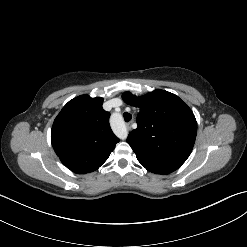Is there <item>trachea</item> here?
<instances>
[{"mask_svg":"<svg viewBox=\"0 0 247 247\" xmlns=\"http://www.w3.org/2000/svg\"><path fill=\"white\" fill-rule=\"evenodd\" d=\"M123 117H124V120H125L126 122H129V121L132 119V115H131L130 113H127V112H125V113L123 114Z\"/></svg>","mask_w":247,"mask_h":247,"instance_id":"3493384b","label":"trachea"}]
</instances>
